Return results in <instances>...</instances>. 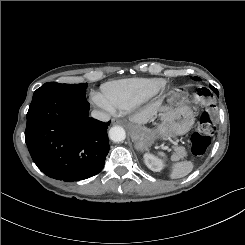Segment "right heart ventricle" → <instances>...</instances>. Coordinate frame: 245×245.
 I'll return each mask as SVG.
<instances>
[{"label": "right heart ventricle", "mask_w": 245, "mask_h": 245, "mask_svg": "<svg viewBox=\"0 0 245 245\" xmlns=\"http://www.w3.org/2000/svg\"><path fill=\"white\" fill-rule=\"evenodd\" d=\"M164 85L165 80L162 78H129L104 84L102 93L114 111L129 112L156 94Z\"/></svg>", "instance_id": "right-heart-ventricle-1"}]
</instances>
